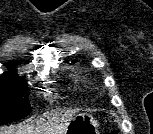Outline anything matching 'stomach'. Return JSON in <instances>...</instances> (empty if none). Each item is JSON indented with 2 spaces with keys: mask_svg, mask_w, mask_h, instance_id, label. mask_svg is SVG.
I'll use <instances>...</instances> for the list:
<instances>
[{
  "mask_svg": "<svg viewBox=\"0 0 153 134\" xmlns=\"http://www.w3.org/2000/svg\"><path fill=\"white\" fill-rule=\"evenodd\" d=\"M63 134H99L97 121L87 113L73 116Z\"/></svg>",
  "mask_w": 153,
  "mask_h": 134,
  "instance_id": "1",
  "label": "stomach"
}]
</instances>
